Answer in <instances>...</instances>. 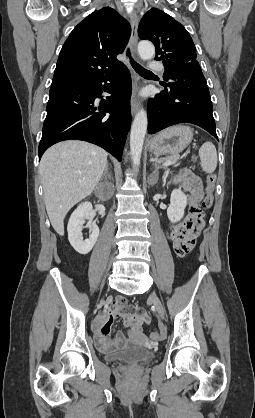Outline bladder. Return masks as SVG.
I'll list each match as a JSON object with an SVG mask.
<instances>
[{"label": "bladder", "mask_w": 255, "mask_h": 418, "mask_svg": "<svg viewBox=\"0 0 255 418\" xmlns=\"http://www.w3.org/2000/svg\"><path fill=\"white\" fill-rule=\"evenodd\" d=\"M155 358V353L142 347H131L121 351L109 353L106 359L111 362L135 361L146 362Z\"/></svg>", "instance_id": "1"}]
</instances>
